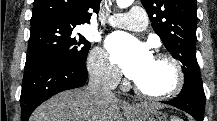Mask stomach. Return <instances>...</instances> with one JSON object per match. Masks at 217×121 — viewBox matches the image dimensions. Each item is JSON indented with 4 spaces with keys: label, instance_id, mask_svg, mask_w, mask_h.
Returning <instances> with one entry per match:
<instances>
[{
    "label": "stomach",
    "instance_id": "1",
    "mask_svg": "<svg viewBox=\"0 0 217 121\" xmlns=\"http://www.w3.org/2000/svg\"><path fill=\"white\" fill-rule=\"evenodd\" d=\"M140 121H167L166 117L156 109H145L140 115Z\"/></svg>",
    "mask_w": 217,
    "mask_h": 121
}]
</instances>
